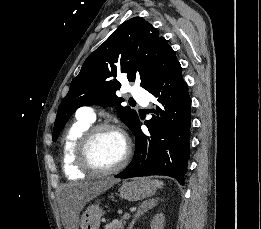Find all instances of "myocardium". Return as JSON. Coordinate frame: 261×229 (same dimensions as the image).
<instances>
[{
	"instance_id": "myocardium-1",
	"label": "myocardium",
	"mask_w": 261,
	"mask_h": 229,
	"mask_svg": "<svg viewBox=\"0 0 261 229\" xmlns=\"http://www.w3.org/2000/svg\"><path fill=\"white\" fill-rule=\"evenodd\" d=\"M105 131L118 133L125 142V153L123 158L117 165L111 168L100 167L92 158L93 144L98 135ZM76 152L77 162L83 170L95 175H110L122 170L128 164L131 155V147L122 129L113 124H99L90 127L83 134L77 145Z\"/></svg>"
}]
</instances>
